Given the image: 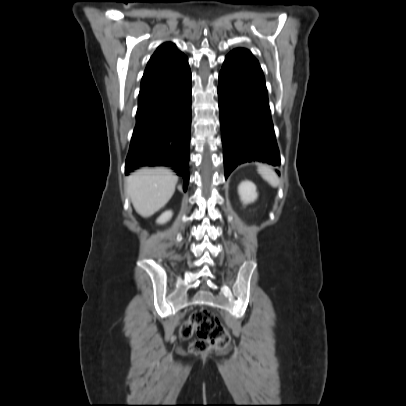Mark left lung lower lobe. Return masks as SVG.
Listing matches in <instances>:
<instances>
[{
    "label": "left lung lower lobe",
    "mask_w": 406,
    "mask_h": 406,
    "mask_svg": "<svg viewBox=\"0 0 406 406\" xmlns=\"http://www.w3.org/2000/svg\"><path fill=\"white\" fill-rule=\"evenodd\" d=\"M218 99L225 178L245 162L279 165L264 75L248 50L227 55L219 73Z\"/></svg>",
    "instance_id": "1"
}]
</instances>
